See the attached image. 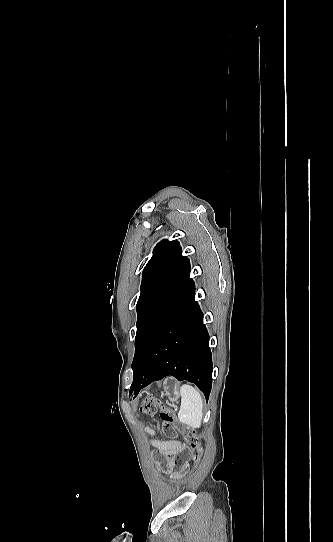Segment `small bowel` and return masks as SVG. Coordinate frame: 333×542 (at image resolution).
<instances>
[{"label":"small bowel","mask_w":333,"mask_h":542,"mask_svg":"<svg viewBox=\"0 0 333 542\" xmlns=\"http://www.w3.org/2000/svg\"><path fill=\"white\" fill-rule=\"evenodd\" d=\"M144 430L149 436H156V431L152 427L145 426ZM151 445L159 452L153 455V460L155 462H160L162 458L171 459L186 451V445L178 440H161L154 438L151 440Z\"/></svg>","instance_id":"small-bowel-1"}]
</instances>
